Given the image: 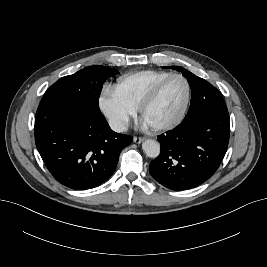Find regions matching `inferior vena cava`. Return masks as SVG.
<instances>
[{
    "label": "inferior vena cava",
    "instance_id": "1",
    "mask_svg": "<svg viewBox=\"0 0 267 267\" xmlns=\"http://www.w3.org/2000/svg\"><path fill=\"white\" fill-rule=\"evenodd\" d=\"M109 125L115 132H125L128 130V122L122 118L111 119Z\"/></svg>",
    "mask_w": 267,
    "mask_h": 267
}]
</instances>
